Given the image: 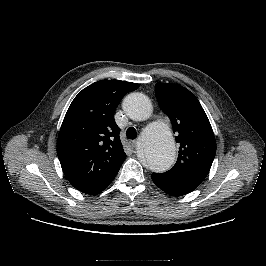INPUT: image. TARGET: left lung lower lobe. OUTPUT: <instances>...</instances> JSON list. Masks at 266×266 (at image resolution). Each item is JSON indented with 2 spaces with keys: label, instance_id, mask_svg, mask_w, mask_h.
Returning a JSON list of instances; mask_svg holds the SVG:
<instances>
[{
  "label": "left lung lower lobe",
  "instance_id": "0a47b994",
  "mask_svg": "<svg viewBox=\"0 0 266 266\" xmlns=\"http://www.w3.org/2000/svg\"><path fill=\"white\" fill-rule=\"evenodd\" d=\"M152 180L165 193L172 196H182L195 190L194 187L178 182L164 174L152 173Z\"/></svg>",
  "mask_w": 266,
  "mask_h": 266
}]
</instances>
